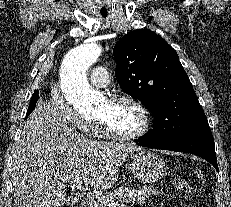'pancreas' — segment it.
<instances>
[{
	"instance_id": "1",
	"label": "pancreas",
	"mask_w": 231,
	"mask_h": 207,
	"mask_svg": "<svg viewBox=\"0 0 231 207\" xmlns=\"http://www.w3.org/2000/svg\"><path fill=\"white\" fill-rule=\"evenodd\" d=\"M163 192H159L151 187L144 186L139 188L119 187L110 192H107L103 197L104 199L92 200L87 203V207H108V203H130L131 205L138 204L143 205L146 199L151 198L153 195H160Z\"/></svg>"
}]
</instances>
